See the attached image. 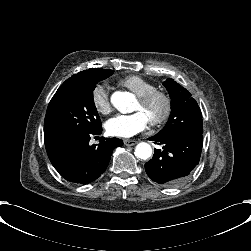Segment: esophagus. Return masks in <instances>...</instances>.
<instances>
[{"label":"esophagus","instance_id":"1","mask_svg":"<svg viewBox=\"0 0 251 251\" xmlns=\"http://www.w3.org/2000/svg\"><path fill=\"white\" fill-rule=\"evenodd\" d=\"M138 142L136 140H124V144L126 146H133L135 144H137Z\"/></svg>","mask_w":251,"mask_h":251}]
</instances>
